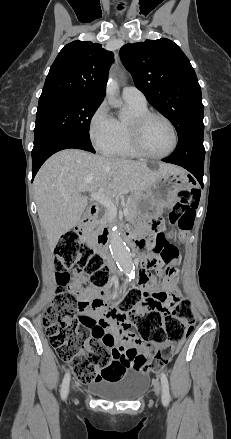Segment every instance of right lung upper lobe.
Segmentation results:
<instances>
[{
    "label": "right lung upper lobe",
    "instance_id": "right-lung-upper-lobe-1",
    "mask_svg": "<svg viewBox=\"0 0 231 439\" xmlns=\"http://www.w3.org/2000/svg\"><path fill=\"white\" fill-rule=\"evenodd\" d=\"M112 58L101 44L76 40L65 45L50 68L39 101L81 97L102 102Z\"/></svg>",
    "mask_w": 231,
    "mask_h": 439
}]
</instances>
